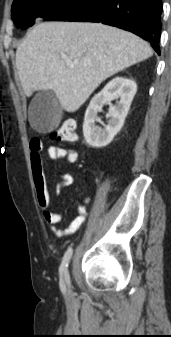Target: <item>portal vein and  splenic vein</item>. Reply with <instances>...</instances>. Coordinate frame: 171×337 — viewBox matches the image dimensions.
<instances>
[{"instance_id":"obj_1","label":"portal vein and splenic vein","mask_w":171,"mask_h":337,"mask_svg":"<svg viewBox=\"0 0 171 337\" xmlns=\"http://www.w3.org/2000/svg\"><path fill=\"white\" fill-rule=\"evenodd\" d=\"M66 66L69 68H73L74 67V63L68 59H66Z\"/></svg>"}]
</instances>
